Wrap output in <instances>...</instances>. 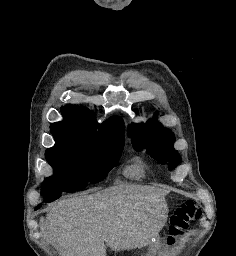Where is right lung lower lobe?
Here are the masks:
<instances>
[{"instance_id":"obj_1","label":"right lung lower lobe","mask_w":236,"mask_h":256,"mask_svg":"<svg viewBox=\"0 0 236 256\" xmlns=\"http://www.w3.org/2000/svg\"><path fill=\"white\" fill-rule=\"evenodd\" d=\"M40 208V205H38L37 207H36V209H39Z\"/></svg>"}]
</instances>
